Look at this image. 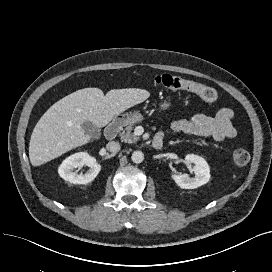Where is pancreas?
<instances>
[{"instance_id":"obj_1","label":"pancreas","mask_w":272,"mask_h":272,"mask_svg":"<svg viewBox=\"0 0 272 272\" xmlns=\"http://www.w3.org/2000/svg\"><path fill=\"white\" fill-rule=\"evenodd\" d=\"M133 124L128 125L122 132H120L121 141L126 143H135L139 140L133 132Z\"/></svg>"}]
</instances>
